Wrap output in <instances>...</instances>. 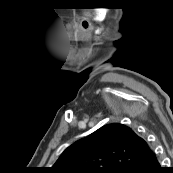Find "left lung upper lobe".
I'll return each mask as SVG.
<instances>
[{
  "mask_svg": "<svg viewBox=\"0 0 173 173\" xmlns=\"http://www.w3.org/2000/svg\"><path fill=\"white\" fill-rule=\"evenodd\" d=\"M149 144L131 128L105 125L69 146L54 173H136L151 154Z\"/></svg>",
  "mask_w": 173,
  "mask_h": 173,
  "instance_id": "obj_1",
  "label": "left lung upper lobe"
}]
</instances>
